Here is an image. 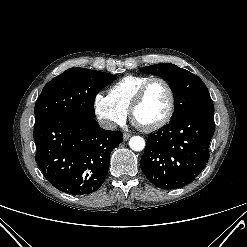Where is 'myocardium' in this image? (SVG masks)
Returning <instances> with one entry per match:
<instances>
[{
	"label": "myocardium",
	"instance_id": "f54148a6",
	"mask_svg": "<svg viewBox=\"0 0 247 247\" xmlns=\"http://www.w3.org/2000/svg\"><path fill=\"white\" fill-rule=\"evenodd\" d=\"M156 82L163 84L165 86V88L167 89V92L169 95V107H168L166 114L164 115V117L161 120H159L158 122H156L154 124L143 127L146 131H154V130H157V129L164 127L166 124H168L170 122V120L172 119V117L174 115V111H175L176 96H175V92H174L172 85L166 79H164L162 77H152V78L148 79L139 88V90L135 94V96H134V98L130 104V108H129L131 116L132 117L135 116L136 109L145 99L146 94H147L149 88L151 87V85L153 83H156Z\"/></svg>",
	"mask_w": 247,
	"mask_h": 247
}]
</instances>
